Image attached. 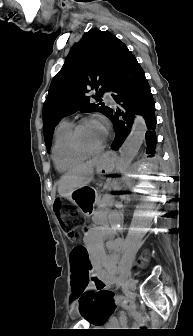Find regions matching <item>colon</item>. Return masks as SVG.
I'll use <instances>...</instances> for the list:
<instances>
[{"instance_id": "colon-1", "label": "colon", "mask_w": 193, "mask_h": 336, "mask_svg": "<svg viewBox=\"0 0 193 336\" xmlns=\"http://www.w3.org/2000/svg\"><path fill=\"white\" fill-rule=\"evenodd\" d=\"M56 210L59 221L68 236L72 239L76 238V226L81 223L79 212L65 199H60L56 202ZM70 262L75 279L73 287L74 297L79 303L81 314L87 315L89 313L90 303L97 296H100L103 299H110L111 295L103 288V283L98 279L96 280L95 287L90 291H86L89 284L88 271L90 269V264L87 258V253L82 246L77 247L72 251ZM119 299L123 301L127 307L135 309V306L129 303L125 298L120 297Z\"/></svg>"}]
</instances>
